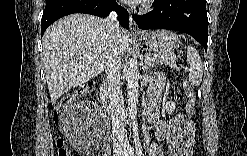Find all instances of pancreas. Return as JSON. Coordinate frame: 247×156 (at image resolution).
<instances>
[{
  "mask_svg": "<svg viewBox=\"0 0 247 156\" xmlns=\"http://www.w3.org/2000/svg\"><path fill=\"white\" fill-rule=\"evenodd\" d=\"M145 58H148L147 64L151 67L165 64L171 68H177L176 60L171 54L147 53L145 55Z\"/></svg>",
  "mask_w": 247,
  "mask_h": 156,
  "instance_id": "1",
  "label": "pancreas"
}]
</instances>
